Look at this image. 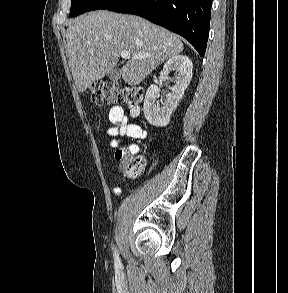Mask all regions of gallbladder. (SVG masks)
I'll list each match as a JSON object with an SVG mask.
<instances>
[{"instance_id": "gallbladder-1", "label": "gallbladder", "mask_w": 288, "mask_h": 293, "mask_svg": "<svg viewBox=\"0 0 288 293\" xmlns=\"http://www.w3.org/2000/svg\"><path fill=\"white\" fill-rule=\"evenodd\" d=\"M121 76V69L120 68H115L109 75V79L111 82H116L119 80Z\"/></svg>"}]
</instances>
